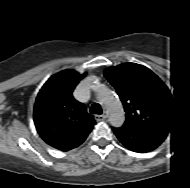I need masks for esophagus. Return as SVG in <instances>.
<instances>
[{
  "label": "esophagus",
  "instance_id": "obj_1",
  "mask_svg": "<svg viewBox=\"0 0 190 188\" xmlns=\"http://www.w3.org/2000/svg\"><path fill=\"white\" fill-rule=\"evenodd\" d=\"M94 118L96 121H104L106 119V115L105 114L95 115Z\"/></svg>",
  "mask_w": 190,
  "mask_h": 188
}]
</instances>
